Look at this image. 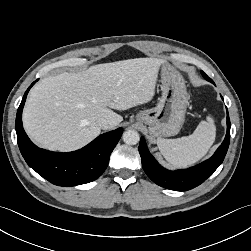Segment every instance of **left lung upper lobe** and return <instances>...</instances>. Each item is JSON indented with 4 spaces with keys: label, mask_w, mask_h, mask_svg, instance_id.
<instances>
[{
    "label": "left lung upper lobe",
    "mask_w": 251,
    "mask_h": 251,
    "mask_svg": "<svg viewBox=\"0 0 251 251\" xmlns=\"http://www.w3.org/2000/svg\"><path fill=\"white\" fill-rule=\"evenodd\" d=\"M201 73L206 80L211 81V79L203 71H201Z\"/></svg>",
    "instance_id": "5c2ea615"
}]
</instances>
